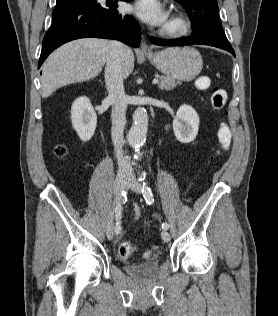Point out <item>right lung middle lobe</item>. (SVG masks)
Returning <instances> with one entry per match:
<instances>
[{"label": "right lung middle lobe", "instance_id": "dd1d6c3e", "mask_svg": "<svg viewBox=\"0 0 278 316\" xmlns=\"http://www.w3.org/2000/svg\"><path fill=\"white\" fill-rule=\"evenodd\" d=\"M70 1H73V0H57V4L56 5L65 4V3L70 2Z\"/></svg>", "mask_w": 278, "mask_h": 316}]
</instances>
